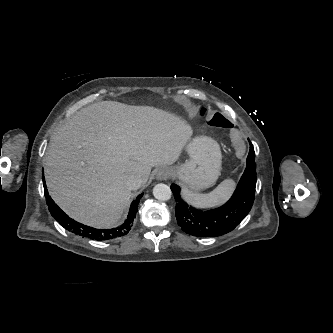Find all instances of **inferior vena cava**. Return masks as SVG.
Segmentation results:
<instances>
[{
  "instance_id": "obj_1",
  "label": "inferior vena cava",
  "mask_w": 333,
  "mask_h": 333,
  "mask_svg": "<svg viewBox=\"0 0 333 333\" xmlns=\"http://www.w3.org/2000/svg\"><path fill=\"white\" fill-rule=\"evenodd\" d=\"M126 187L129 190H136L141 187L143 180L139 175H130L126 178Z\"/></svg>"
}]
</instances>
